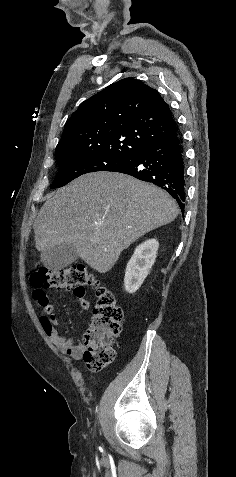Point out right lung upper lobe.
Here are the masks:
<instances>
[{
  "label": "right lung upper lobe",
  "mask_w": 236,
  "mask_h": 477,
  "mask_svg": "<svg viewBox=\"0 0 236 477\" xmlns=\"http://www.w3.org/2000/svg\"><path fill=\"white\" fill-rule=\"evenodd\" d=\"M176 130L160 94L127 78L79 106L65 124L56 160L95 154L131 158Z\"/></svg>",
  "instance_id": "cb5924a9"
}]
</instances>
